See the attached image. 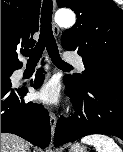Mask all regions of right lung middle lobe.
Wrapping results in <instances>:
<instances>
[{"label":"right lung middle lobe","mask_w":123,"mask_h":152,"mask_svg":"<svg viewBox=\"0 0 123 152\" xmlns=\"http://www.w3.org/2000/svg\"><path fill=\"white\" fill-rule=\"evenodd\" d=\"M15 70L12 69H3L1 68V84H7L10 83L11 80L9 79V77L12 75V73Z\"/></svg>","instance_id":"right-lung-middle-lobe-1"}]
</instances>
